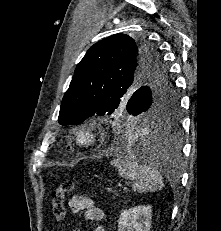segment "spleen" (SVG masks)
<instances>
[{
  "mask_svg": "<svg viewBox=\"0 0 221 231\" xmlns=\"http://www.w3.org/2000/svg\"><path fill=\"white\" fill-rule=\"evenodd\" d=\"M111 165L118 169L119 175L133 181V190L139 193L156 192L163 188L160 172L154 165L140 162L133 155L123 159H114Z\"/></svg>",
  "mask_w": 221,
  "mask_h": 231,
  "instance_id": "3e777b00",
  "label": "spleen"
}]
</instances>
